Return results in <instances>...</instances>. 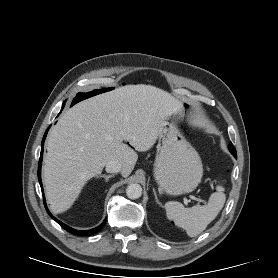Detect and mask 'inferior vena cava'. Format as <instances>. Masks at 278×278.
I'll use <instances>...</instances> for the list:
<instances>
[{"label": "inferior vena cava", "instance_id": "inferior-vena-cava-1", "mask_svg": "<svg viewBox=\"0 0 278 278\" xmlns=\"http://www.w3.org/2000/svg\"><path fill=\"white\" fill-rule=\"evenodd\" d=\"M122 170V165L121 163L111 160L106 163V171L108 173H118Z\"/></svg>", "mask_w": 278, "mask_h": 278}]
</instances>
